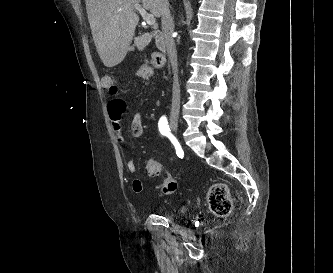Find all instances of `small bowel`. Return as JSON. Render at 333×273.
Returning a JSON list of instances; mask_svg holds the SVG:
<instances>
[{
	"label": "small bowel",
	"instance_id": "obj_1",
	"mask_svg": "<svg viewBox=\"0 0 333 273\" xmlns=\"http://www.w3.org/2000/svg\"><path fill=\"white\" fill-rule=\"evenodd\" d=\"M137 76L142 77L145 80H148L150 77L154 76V67L152 62H141L139 70L137 71ZM104 86L106 85V80L103 82ZM107 111L109 118L112 123V127L117 135V140L121 145L125 144V138L122 134V116L126 113L125 102L121 100L119 96H116L113 101H110L107 105ZM131 131L132 135L135 138H139L144 133L143 126V116L142 112L137 109L133 115L131 121ZM153 159V158H151ZM126 168L127 171L131 174L136 172V164L131 158L126 159ZM150 176H159V175H150ZM132 190L135 193H140L144 190L143 182L140 178H135L132 182Z\"/></svg>",
	"mask_w": 333,
	"mask_h": 273
}]
</instances>
